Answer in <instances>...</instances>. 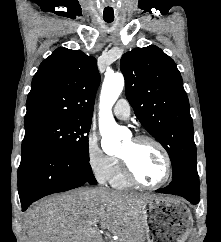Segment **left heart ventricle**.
Here are the masks:
<instances>
[{"label":"left heart ventricle","instance_id":"b2bd125f","mask_svg":"<svg viewBox=\"0 0 221 242\" xmlns=\"http://www.w3.org/2000/svg\"><path fill=\"white\" fill-rule=\"evenodd\" d=\"M127 158L135 174L145 183L159 182L165 173V161L159 149L150 142L126 141L119 153Z\"/></svg>","mask_w":221,"mask_h":242}]
</instances>
